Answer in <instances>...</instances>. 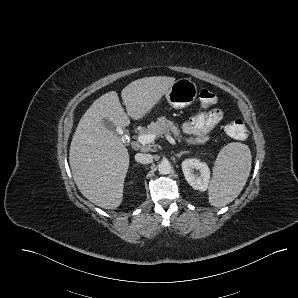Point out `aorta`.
Masks as SVG:
<instances>
[{"mask_svg": "<svg viewBox=\"0 0 298 298\" xmlns=\"http://www.w3.org/2000/svg\"><path fill=\"white\" fill-rule=\"evenodd\" d=\"M157 169L160 174H169L171 172L172 165L168 160H161L157 166Z\"/></svg>", "mask_w": 298, "mask_h": 298, "instance_id": "obj_1", "label": "aorta"}]
</instances>
